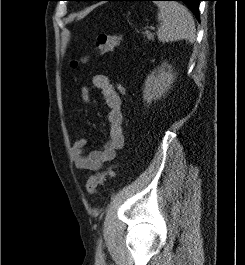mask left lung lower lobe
I'll list each match as a JSON object with an SVG mask.
<instances>
[{"instance_id": "left-lung-lower-lobe-1", "label": "left lung lower lobe", "mask_w": 245, "mask_h": 265, "mask_svg": "<svg viewBox=\"0 0 245 265\" xmlns=\"http://www.w3.org/2000/svg\"><path fill=\"white\" fill-rule=\"evenodd\" d=\"M82 1H124V0H82ZM148 1H157V0H148ZM182 1L193 11L195 16L199 19V2L203 0H174Z\"/></svg>"}]
</instances>
